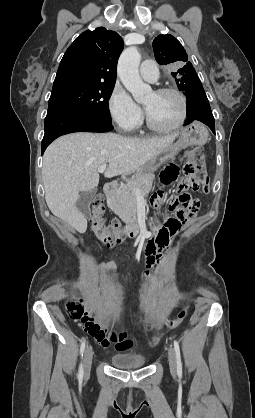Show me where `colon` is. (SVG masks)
<instances>
[{
	"instance_id": "obj_1",
	"label": "colon",
	"mask_w": 255,
	"mask_h": 418,
	"mask_svg": "<svg viewBox=\"0 0 255 418\" xmlns=\"http://www.w3.org/2000/svg\"><path fill=\"white\" fill-rule=\"evenodd\" d=\"M185 179L179 185V193L174 197L170 205L176 209V216L168 218L157 230L156 236L162 235L163 227H172L175 231L181 222H189L196 215L199 207L198 201L192 199L189 190H202L208 192L209 177L206 172L204 155L201 148H197L184 156L183 167ZM162 198V193L157 192L153 196V204L157 205ZM104 201L101 196H97L91 205L90 221L91 228L97 240L106 248H111L122 240V231L118 224L108 227L103 221ZM171 237V236H170ZM169 241V240H168ZM68 315L76 320H81L86 330H92L97 326L94 316L85 312L83 302L78 294L72 295L66 304ZM188 309L179 312L176 318L168 323V328L178 326L186 317ZM156 342V340L154 341Z\"/></svg>"
}]
</instances>
